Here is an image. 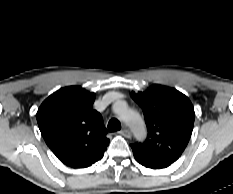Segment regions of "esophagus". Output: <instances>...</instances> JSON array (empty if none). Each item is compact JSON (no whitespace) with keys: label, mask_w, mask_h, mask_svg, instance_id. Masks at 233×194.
<instances>
[{"label":"esophagus","mask_w":233,"mask_h":194,"mask_svg":"<svg viewBox=\"0 0 233 194\" xmlns=\"http://www.w3.org/2000/svg\"><path fill=\"white\" fill-rule=\"evenodd\" d=\"M119 133L121 135H123L124 137H126V138H131L132 137L131 132L126 128L122 129Z\"/></svg>","instance_id":"obj_1"}]
</instances>
